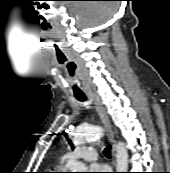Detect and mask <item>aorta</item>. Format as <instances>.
Returning <instances> with one entry per match:
<instances>
[{
    "label": "aorta",
    "instance_id": "762f6f07",
    "mask_svg": "<svg viewBox=\"0 0 170 173\" xmlns=\"http://www.w3.org/2000/svg\"><path fill=\"white\" fill-rule=\"evenodd\" d=\"M103 133L99 126H88L78 130L75 136L76 144H84L87 141L97 140ZM73 172H86L87 168L82 162H74ZM128 170V152L124 143L119 142L116 145V172H127Z\"/></svg>",
    "mask_w": 170,
    "mask_h": 173
}]
</instances>
